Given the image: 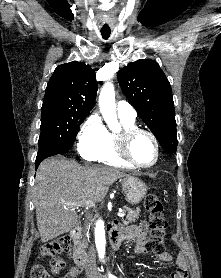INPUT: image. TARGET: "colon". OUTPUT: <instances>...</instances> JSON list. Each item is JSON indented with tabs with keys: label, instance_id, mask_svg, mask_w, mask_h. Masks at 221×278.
I'll return each mask as SVG.
<instances>
[{
	"label": "colon",
	"instance_id": "5ec220e1",
	"mask_svg": "<svg viewBox=\"0 0 221 278\" xmlns=\"http://www.w3.org/2000/svg\"><path fill=\"white\" fill-rule=\"evenodd\" d=\"M148 215L149 238L147 248L149 251L160 254L164 252V239L167 221L163 215V205L155 195H148L144 202ZM71 246V239L67 236L45 243L41 248V256H51V266L58 272L64 266L61 254L67 252ZM30 278H51L49 272L41 265L31 269Z\"/></svg>",
	"mask_w": 221,
	"mask_h": 278
}]
</instances>
